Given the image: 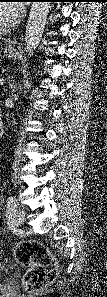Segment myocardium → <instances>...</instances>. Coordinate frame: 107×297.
<instances>
[{
  "label": "myocardium",
  "instance_id": "f54148a6",
  "mask_svg": "<svg viewBox=\"0 0 107 297\" xmlns=\"http://www.w3.org/2000/svg\"><path fill=\"white\" fill-rule=\"evenodd\" d=\"M13 27V23H9L6 25H0V34L9 31Z\"/></svg>",
  "mask_w": 107,
  "mask_h": 297
}]
</instances>
